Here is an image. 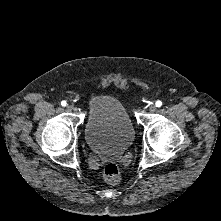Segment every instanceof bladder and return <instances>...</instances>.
Wrapping results in <instances>:
<instances>
[{
    "label": "bladder",
    "instance_id": "bladder-1",
    "mask_svg": "<svg viewBox=\"0 0 221 221\" xmlns=\"http://www.w3.org/2000/svg\"><path fill=\"white\" fill-rule=\"evenodd\" d=\"M84 135L91 149L110 154L126 151L135 139L133 124L123 104L110 95L92 100Z\"/></svg>",
    "mask_w": 221,
    "mask_h": 221
}]
</instances>
